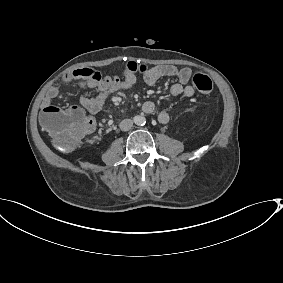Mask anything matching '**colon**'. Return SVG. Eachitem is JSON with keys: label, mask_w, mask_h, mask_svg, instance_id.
<instances>
[{"label": "colon", "mask_w": 283, "mask_h": 283, "mask_svg": "<svg viewBox=\"0 0 283 283\" xmlns=\"http://www.w3.org/2000/svg\"><path fill=\"white\" fill-rule=\"evenodd\" d=\"M125 70L135 74L137 72H145L146 67L130 62ZM192 81L196 89L201 93H210L213 89L211 79L202 73L195 74ZM40 121L58 148L63 151L72 150L93 129L92 120L78 108L60 110L56 107H49L42 111Z\"/></svg>", "instance_id": "1"}]
</instances>
